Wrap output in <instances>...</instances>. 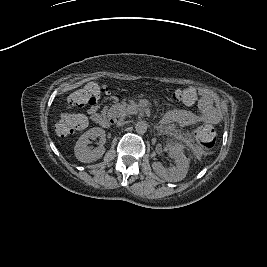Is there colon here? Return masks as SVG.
<instances>
[{
	"instance_id": "1",
	"label": "colon",
	"mask_w": 267,
	"mask_h": 267,
	"mask_svg": "<svg viewBox=\"0 0 267 267\" xmlns=\"http://www.w3.org/2000/svg\"><path fill=\"white\" fill-rule=\"evenodd\" d=\"M104 93L102 87L96 84L85 86L76 93L75 101L84 104H96ZM178 102L185 105L190 100V92L187 89L178 90L175 93ZM86 126V119L82 116H66L57 125V131L62 136L68 135L72 129H83ZM197 138L202 152H210L216 146V133L212 126H205L197 132Z\"/></svg>"
}]
</instances>
